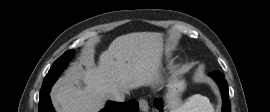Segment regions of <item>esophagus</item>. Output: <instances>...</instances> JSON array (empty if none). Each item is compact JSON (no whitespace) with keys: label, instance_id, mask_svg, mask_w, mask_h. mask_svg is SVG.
Returning a JSON list of instances; mask_svg holds the SVG:
<instances>
[{"label":"esophagus","instance_id":"34e87169","mask_svg":"<svg viewBox=\"0 0 270 112\" xmlns=\"http://www.w3.org/2000/svg\"><path fill=\"white\" fill-rule=\"evenodd\" d=\"M139 108L142 112H147L149 110V105L146 99L139 100Z\"/></svg>","mask_w":270,"mask_h":112}]
</instances>
